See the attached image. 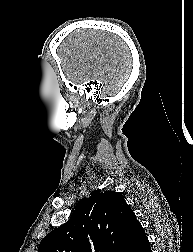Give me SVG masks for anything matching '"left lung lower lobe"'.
Wrapping results in <instances>:
<instances>
[{
    "label": "left lung lower lobe",
    "instance_id": "1",
    "mask_svg": "<svg viewBox=\"0 0 193 252\" xmlns=\"http://www.w3.org/2000/svg\"><path fill=\"white\" fill-rule=\"evenodd\" d=\"M125 252H152L141 224H138L134 229Z\"/></svg>",
    "mask_w": 193,
    "mask_h": 252
}]
</instances>
